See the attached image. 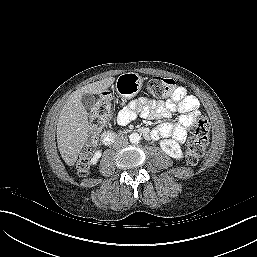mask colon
I'll return each mask as SVG.
<instances>
[{"label":"colon","mask_w":257,"mask_h":257,"mask_svg":"<svg viewBox=\"0 0 257 257\" xmlns=\"http://www.w3.org/2000/svg\"><path fill=\"white\" fill-rule=\"evenodd\" d=\"M177 83L171 78L152 77L147 82L149 94L157 99L166 98L176 89ZM115 104L114 96L110 92L102 93L96 100L90 116V133L86 148L77 162V170L84 173L87 170V160L92 148L98 140L100 132L109 122ZM209 122L204 115L192 116V137L186 151V161L190 165L196 164L204 156L209 142Z\"/></svg>","instance_id":"obj_1"}]
</instances>
